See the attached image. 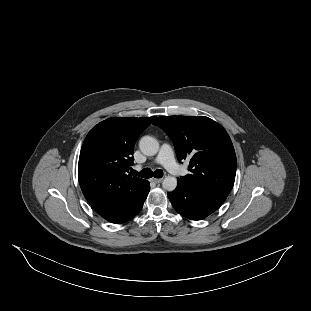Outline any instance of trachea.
<instances>
[{
    "label": "trachea",
    "mask_w": 311,
    "mask_h": 311,
    "mask_svg": "<svg viewBox=\"0 0 311 311\" xmlns=\"http://www.w3.org/2000/svg\"><path fill=\"white\" fill-rule=\"evenodd\" d=\"M131 174L132 175H136L142 178H151V177H155V178H162L164 173L161 169H157L155 170V172L153 173L152 170L150 168H145L140 172H137L135 170H131Z\"/></svg>",
    "instance_id": "3493384b"
}]
</instances>
